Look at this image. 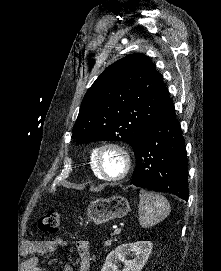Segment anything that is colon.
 Masks as SVG:
<instances>
[{
    "label": "colon",
    "mask_w": 221,
    "mask_h": 271,
    "mask_svg": "<svg viewBox=\"0 0 221 271\" xmlns=\"http://www.w3.org/2000/svg\"><path fill=\"white\" fill-rule=\"evenodd\" d=\"M39 229L43 232L54 234L60 227V215L58 212H49L44 214L39 220Z\"/></svg>",
    "instance_id": "colon-1"
}]
</instances>
